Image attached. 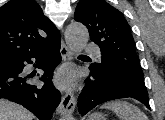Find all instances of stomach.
<instances>
[{"label":"stomach","instance_id":"1","mask_svg":"<svg viewBox=\"0 0 165 120\" xmlns=\"http://www.w3.org/2000/svg\"><path fill=\"white\" fill-rule=\"evenodd\" d=\"M88 120H105L102 113H93L89 116Z\"/></svg>","mask_w":165,"mask_h":120}]
</instances>
